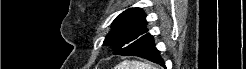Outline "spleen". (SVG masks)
<instances>
[{"mask_svg":"<svg viewBox=\"0 0 246 69\" xmlns=\"http://www.w3.org/2000/svg\"><path fill=\"white\" fill-rule=\"evenodd\" d=\"M115 69H155V67L140 61L132 60L121 62Z\"/></svg>","mask_w":246,"mask_h":69,"instance_id":"spleen-1","label":"spleen"}]
</instances>
